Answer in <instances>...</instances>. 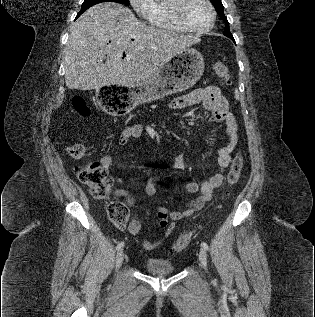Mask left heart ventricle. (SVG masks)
I'll use <instances>...</instances> for the list:
<instances>
[{
  "mask_svg": "<svg viewBox=\"0 0 315 317\" xmlns=\"http://www.w3.org/2000/svg\"><path fill=\"white\" fill-rule=\"evenodd\" d=\"M185 19L194 28L207 27L211 20V14L204 0H189L185 7Z\"/></svg>",
  "mask_w": 315,
  "mask_h": 317,
  "instance_id": "left-heart-ventricle-1",
  "label": "left heart ventricle"
}]
</instances>
